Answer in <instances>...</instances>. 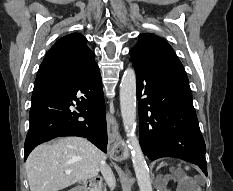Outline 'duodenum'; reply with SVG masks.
Segmentation results:
<instances>
[{
	"instance_id": "duodenum-1",
	"label": "duodenum",
	"mask_w": 233,
	"mask_h": 191,
	"mask_svg": "<svg viewBox=\"0 0 233 191\" xmlns=\"http://www.w3.org/2000/svg\"><path fill=\"white\" fill-rule=\"evenodd\" d=\"M74 191H88V190L85 189V188H77V189H75Z\"/></svg>"
}]
</instances>
